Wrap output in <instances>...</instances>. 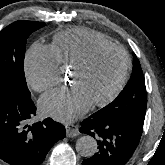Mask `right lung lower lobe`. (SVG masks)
Here are the masks:
<instances>
[{
    "label": "right lung lower lobe",
    "instance_id": "98d812e1",
    "mask_svg": "<svg viewBox=\"0 0 165 165\" xmlns=\"http://www.w3.org/2000/svg\"><path fill=\"white\" fill-rule=\"evenodd\" d=\"M35 115L30 97L0 89V159L10 165H40L65 137V127L51 118L30 125Z\"/></svg>",
    "mask_w": 165,
    "mask_h": 165
}]
</instances>
